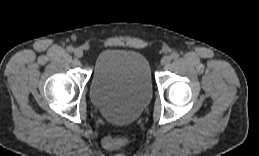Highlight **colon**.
<instances>
[{
	"label": "colon",
	"mask_w": 259,
	"mask_h": 156,
	"mask_svg": "<svg viewBox=\"0 0 259 156\" xmlns=\"http://www.w3.org/2000/svg\"><path fill=\"white\" fill-rule=\"evenodd\" d=\"M129 142V138L127 136H109L104 140V146L107 149H117Z\"/></svg>",
	"instance_id": "obj_1"
}]
</instances>
